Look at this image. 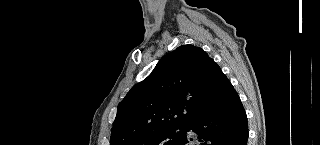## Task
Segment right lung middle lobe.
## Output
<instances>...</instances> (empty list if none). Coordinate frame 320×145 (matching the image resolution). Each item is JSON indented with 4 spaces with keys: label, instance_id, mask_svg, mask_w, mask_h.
<instances>
[{
    "label": "right lung middle lobe",
    "instance_id": "right-lung-middle-lobe-1",
    "mask_svg": "<svg viewBox=\"0 0 320 145\" xmlns=\"http://www.w3.org/2000/svg\"><path fill=\"white\" fill-rule=\"evenodd\" d=\"M184 135V127H170L154 131L131 145H177Z\"/></svg>",
    "mask_w": 320,
    "mask_h": 145
}]
</instances>
